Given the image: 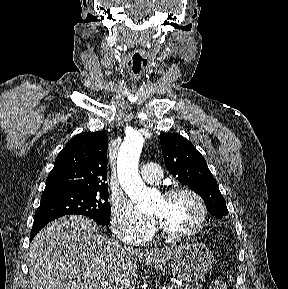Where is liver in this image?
Here are the masks:
<instances>
[{"label":"liver","mask_w":288,"mask_h":289,"mask_svg":"<svg viewBox=\"0 0 288 289\" xmlns=\"http://www.w3.org/2000/svg\"><path fill=\"white\" fill-rule=\"evenodd\" d=\"M176 248L122 247L104 237L98 225L81 215L52 221L32 240L29 277L32 289H135L137 262L159 268Z\"/></svg>","instance_id":"6515ba94"}]
</instances>
